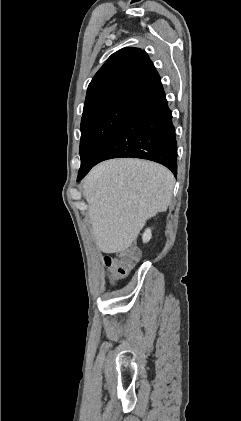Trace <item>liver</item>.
<instances>
[{
	"label": "liver",
	"instance_id": "1",
	"mask_svg": "<svg viewBox=\"0 0 241 421\" xmlns=\"http://www.w3.org/2000/svg\"><path fill=\"white\" fill-rule=\"evenodd\" d=\"M175 184L164 166L140 159L102 162L83 182L95 243L104 253L127 250L146 221L167 210Z\"/></svg>",
	"mask_w": 241,
	"mask_h": 421
}]
</instances>
